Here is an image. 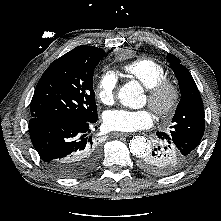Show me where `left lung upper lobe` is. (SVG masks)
Returning <instances> with one entry per match:
<instances>
[{"label":"left lung upper lobe","instance_id":"left-lung-upper-lobe-1","mask_svg":"<svg viewBox=\"0 0 221 221\" xmlns=\"http://www.w3.org/2000/svg\"><path fill=\"white\" fill-rule=\"evenodd\" d=\"M167 60L178 79L181 92L168 134L183 155L191 158L204 134L203 101L192 75L181 61L171 53H168Z\"/></svg>","mask_w":221,"mask_h":221}]
</instances>
